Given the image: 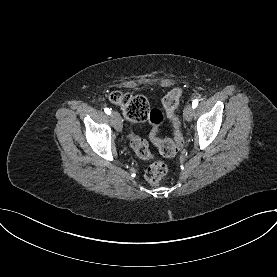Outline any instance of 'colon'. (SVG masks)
<instances>
[{
	"mask_svg": "<svg viewBox=\"0 0 277 277\" xmlns=\"http://www.w3.org/2000/svg\"><path fill=\"white\" fill-rule=\"evenodd\" d=\"M182 89L175 88L171 90L163 99V105L167 116L172 122L174 128V140L161 139L158 137L159 126L163 121V114L158 109H150L147 100L140 95H133L123 92H113L110 94V101L120 107L124 115L131 122L149 121L152 125L150 133L151 141L159 148L161 154L165 157H173L183 145V135L179 118L175 114ZM131 147L136 154L143 159H152L148 143L140 138L131 139ZM167 173V166L162 161H154L145 171V178L151 185H157L161 182Z\"/></svg>",
	"mask_w": 277,
	"mask_h": 277,
	"instance_id": "colon-1",
	"label": "colon"
}]
</instances>
